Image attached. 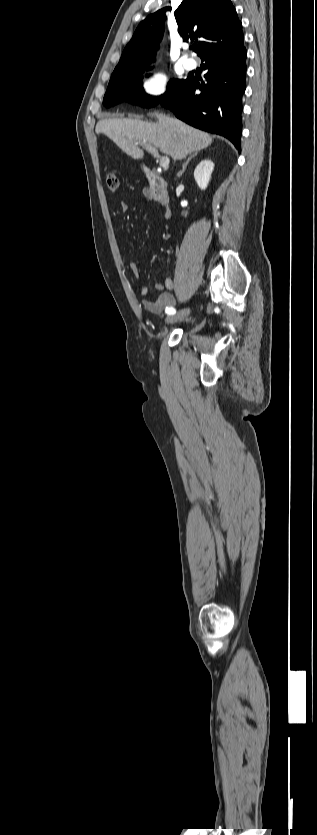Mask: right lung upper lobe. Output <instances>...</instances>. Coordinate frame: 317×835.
<instances>
[{"instance_id": "right-lung-upper-lobe-1", "label": "right lung upper lobe", "mask_w": 317, "mask_h": 835, "mask_svg": "<svg viewBox=\"0 0 317 835\" xmlns=\"http://www.w3.org/2000/svg\"><path fill=\"white\" fill-rule=\"evenodd\" d=\"M166 10L171 7L158 10L138 25L115 70H144L154 60L164 32ZM175 18L184 41L201 39L194 49L199 56L218 44L243 37L242 23L231 0H183Z\"/></svg>"}]
</instances>
